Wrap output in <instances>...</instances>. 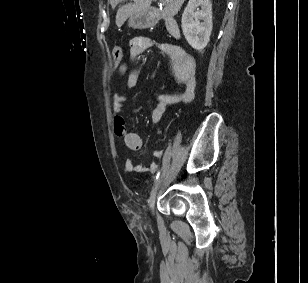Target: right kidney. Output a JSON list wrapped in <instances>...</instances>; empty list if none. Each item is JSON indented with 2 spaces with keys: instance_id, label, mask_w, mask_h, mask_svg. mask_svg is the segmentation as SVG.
<instances>
[{
  "instance_id": "right-kidney-1",
  "label": "right kidney",
  "mask_w": 308,
  "mask_h": 283,
  "mask_svg": "<svg viewBox=\"0 0 308 283\" xmlns=\"http://www.w3.org/2000/svg\"><path fill=\"white\" fill-rule=\"evenodd\" d=\"M181 23L184 37L189 45L197 51L203 50L209 42L212 31L211 1L189 0L182 14Z\"/></svg>"
}]
</instances>
